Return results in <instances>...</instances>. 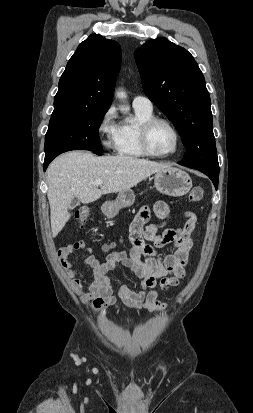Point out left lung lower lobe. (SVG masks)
Returning <instances> with one entry per match:
<instances>
[{
	"label": "left lung lower lobe",
	"mask_w": 253,
	"mask_h": 413,
	"mask_svg": "<svg viewBox=\"0 0 253 413\" xmlns=\"http://www.w3.org/2000/svg\"><path fill=\"white\" fill-rule=\"evenodd\" d=\"M195 169V168H193ZM204 174H206L213 182L215 188L217 189L218 187V178H219V171H210V170H205V169H197Z\"/></svg>",
	"instance_id": "0a47b994"
}]
</instances>
